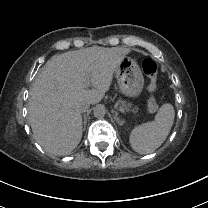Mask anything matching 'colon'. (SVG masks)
Returning a JSON list of instances; mask_svg holds the SVG:
<instances>
[{
	"mask_svg": "<svg viewBox=\"0 0 208 208\" xmlns=\"http://www.w3.org/2000/svg\"><path fill=\"white\" fill-rule=\"evenodd\" d=\"M142 70L148 80V108L155 112L158 109V104L155 100V92L157 89L158 68L156 62L152 58H144L142 61Z\"/></svg>",
	"mask_w": 208,
	"mask_h": 208,
	"instance_id": "5ec220e1",
	"label": "colon"
}]
</instances>
